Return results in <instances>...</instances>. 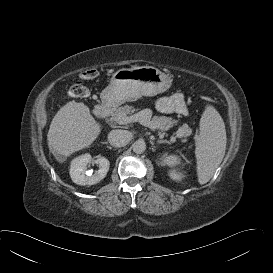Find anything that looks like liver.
I'll return each instance as SVG.
<instances>
[{
	"instance_id": "6515ba94",
	"label": "liver",
	"mask_w": 273,
	"mask_h": 273,
	"mask_svg": "<svg viewBox=\"0 0 273 273\" xmlns=\"http://www.w3.org/2000/svg\"><path fill=\"white\" fill-rule=\"evenodd\" d=\"M101 132V125L84 103L67 102L56 113L47 134L48 147L57 161L89 147Z\"/></svg>"
}]
</instances>
